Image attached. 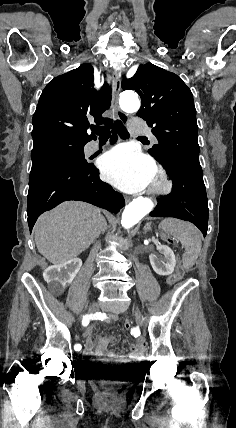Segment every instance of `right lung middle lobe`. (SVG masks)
<instances>
[{
	"label": "right lung middle lobe",
	"instance_id": "dd1d6c3e",
	"mask_svg": "<svg viewBox=\"0 0 236 428\" xmlns=\"http://www.w3.org/2000/svg\"><path fill=\"white\" fill-rule=\"evenodd\" d=\"M87 142L84 140H52L34 145L31 153V171L56 163L86 165L83 147Z\"/></svg>",
	"mask_w": 236,
	"mask_h": 428
}]
</instances>
